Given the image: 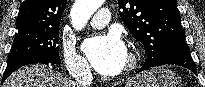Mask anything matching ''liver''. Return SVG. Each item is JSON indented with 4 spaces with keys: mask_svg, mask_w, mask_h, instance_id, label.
Segmentation results:
<instances>
[{
    "mask_svg": "<svg viewBox=\"0 0 205 87\" xmlns=\"http://www.w3.org/2000/svg\"><path fill=\"white\" fill-rule=\"evenodd\" d=\"M3 87H80L43 64L24 66L12 73Z\"/></svg>",
    "mask_w": 205,
    "mask_h": 87,
    "instance_id": "liver-1",
    "label": "liver"
}]
</instances>
